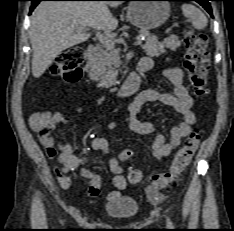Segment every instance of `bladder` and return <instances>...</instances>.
I'll return each mask as SVG.
<instances>
[{"mask_svg": "<svg viewBox=\"0 0 234 231\" xmlns=\"http://www.w3.org/2000/svg\"><path fill=\"white\" fill-rule=\"evenodd\" d=\"M104 210L112 218L129 220L138 215L140 205L138 201L132 197L120 196L116 200L107 204Z\"/></svg>", "mask_w": 234, "mask_h": 231, "instance_id": "1", "label": "bladder"}]
</instances>
